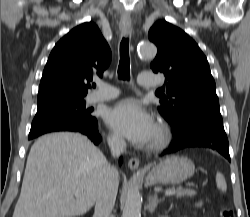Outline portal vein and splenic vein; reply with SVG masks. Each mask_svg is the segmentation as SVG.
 <instances>
[{"instance_id":"18ae733b","label":"portal vein and splenic vein","mask_w":250,"mask_h":217,"mask_svg":"<svg viewBox=\"0 0 250 217\" xmlns=\"http://www.w3.org/2000/svg\"><path fill=\"white\" fill-rule=\"evenodd\" d=\"M174 193H175L174 190H167V191L165 192V195H166V196H170V195H173Z\"/></svg>"}]
</instances>
